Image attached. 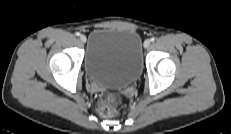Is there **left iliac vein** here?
Listing matches in <instances>:
<instances>
[{
  "label": "left iliac vein",
  "instance_id": "left-iliac-vein-1",
  "mask_svg": "<svg viewBox=\"0 0 231 134\" xmlns=\"http://www.w3.org/2000/svg\"><path fill=\"white\" fill-rule=\"evenodd\" d=\"M150 44H151V41L149 39H147L144 41L143 46H144V48H148L150 46Z\"/></svg>",
  "mask_w": 231,
  "mask_h": 134
}]
</instances>
